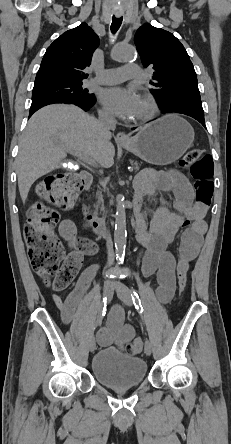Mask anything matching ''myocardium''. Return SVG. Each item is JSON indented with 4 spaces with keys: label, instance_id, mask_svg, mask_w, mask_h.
Here are the masks:
<instances>
[{
    "label": "myocardium",
    "instance_id": "1",
    "mask_svg": "<svg viewBox=\"0 0 231 444\" xmlns=\"http://www.w3.org/2000/svg\"><path fill=\"white\" fill-rule=\"evenodd\" d=\"M145 105V111L134 118L135 122H146L155 117L158 112V106L155 99L148 93H143L140 97Z\"/></svg>",
    "mask_w": 231,
    "mask_h": 444
}]
</instances>
